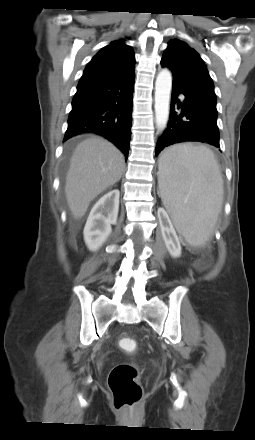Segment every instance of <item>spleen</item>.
Returning a JSON list of instances; mask_svg holds the SVG:
<instances>
[{
    "mask_svg": "<svg viewBox=\"0 0 255 440\" xmlns=\"http://www.w3.org/2000/svg\"><path fill=\"white\" fill-rule=\"evenodd\" d=\"M159 174L161 198L177 231L190 245H204L223 203L214 153L205 146L175 145L162 154Z\"/></svg>",
    "mask_w": 255,
    "mask_h": 440,
    "instance_id": "1",
    "label": "spleen"
}]
</instances>
